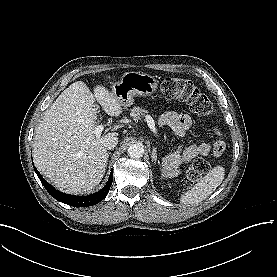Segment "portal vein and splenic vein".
Instances as JSON below:
<instances>
[{"instance_id": "portal-vein-and-splenic-vein-1", "label": "portal vein and splenic vein", "mask_w": 277, "mask_h": 277, "mask_svg": "<svg viewBox=\"0 0 277 277\" xmlns=\"http://www.w3.org/2000/svg\"><path fill=\"white\" fill-rule=\"evenodd\" d=\"M145 120L147 122L148 127L151 129V131L155 135H157V129L155 127V122H154L153 118L150 115H146ZM103 129H104L103 125H98V126L95 127L94 132H95L96 135H101Z\"/></svg>"}]
</instances>
